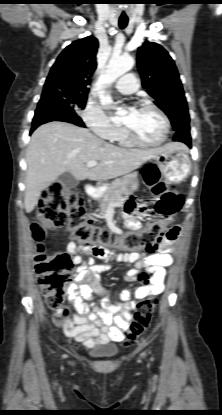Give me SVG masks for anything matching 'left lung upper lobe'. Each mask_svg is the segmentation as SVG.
Wrapping results in <instances>:
<instances>
[{
    "label": "left lung upper lobe",
    "instance_id": "left-lung-upper-lobe-1",
    "mask_svg": "<svg viewBox=\"0 0 222 415\" xmlns=\"http://www.w3.org/2000/svg\"><path fill=\"white\" fill-rule=\"evenodd\" d=\"M137 66L146 92L169 117L174 131L190 129V117L174 60L159 44L146 41L138 48Z\"/></svg>",
    "mask_w": 222,
    "mask_h": 415
}]
</instances>
